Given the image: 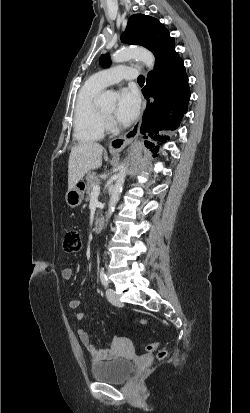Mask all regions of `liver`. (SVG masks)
Here are the masks:
<instances>
[{"label": "liver", "mask_w": 250, "mask_h": 413, "mask_svg": "<svg viewBox=\"0 0 250 413\" xmlns=\"http://www.w3.org/2000/svg\"><path fill=\"white\" fill-rule=\"evenodd\" d=\"M103 151V146L93 141L72 147L68 161V190L72 189L87 172L101 167Z\"/></svg>", "instance_id": "6515ba94"}]
</instances>
